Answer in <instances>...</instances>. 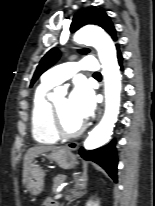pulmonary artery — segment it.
<instances>
[{"label":"pulmonary artery","mask_w":155,"mask_h":206,"mask_svg":"<svg viewBox=\"0 0 155 206\" xmlns=\"http://www.w3.org/2000/svg\"><path fill=\"white\" fill-rule=\"evenodd\" d=\"M79 70L96 72L98 63L94 57H85L79 61L59 64L44 73L43 81L57 85L71 78Z\"/></svg>","instance_id":"obj_1"}]
</instances>
